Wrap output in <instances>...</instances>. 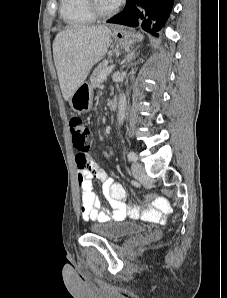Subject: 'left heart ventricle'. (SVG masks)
Returning <instances> with one entry per match:
<instances>
[{"label":"left heart ventricle","instance_id":"left-heart-ventricle-1","mask_svg":"<svg viewBox=\"0 0 227 298\" xmlns=\"http://www.w3.org/2000/svg\"><path fill=\"white\" fill-rule=\"evenodd\" d=\"M96 2L98 6L103 10H108L113 7L109 4L108 0H96Z\"/></svg>","mask_w":227,"mask_h":298}]
</instances>
